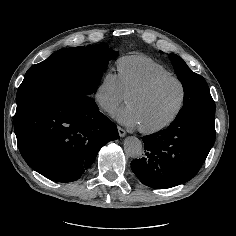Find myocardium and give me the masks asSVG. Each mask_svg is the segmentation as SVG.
<instances>
[{"mask_svg": "<svg viewBox=\"0 0 236 236\" xmlns=\"http://www.w3.org/2000/svg\"><path fill=\"white\" fill-rule=\"evenodd\" d=\"M168 81H174V82L178 83L181 87L182 95H181V100H180L179 106L177 107L176 111L172 114L171 117H169L167 120H165L164 122H162L156 126L149 127V128L138 126L139 130L142 133H145V134L158 133L162 130H165L169 126H171L179 118V116L181 115V113L185 107L186 100H187L186 85L180 78H178L176 76H164V77H159V78H156V79L150 81L149 83H147L143 87L131 92L128 95L127 103L129 104V102L132 98L146 95L149 92H151L154 88H156L157 86H159L165 82H168Z\"/></svg>", "mask_w": 236, "mask_h": 236, "instance_id": "1", "label": "myocardium"}]
</instances>
